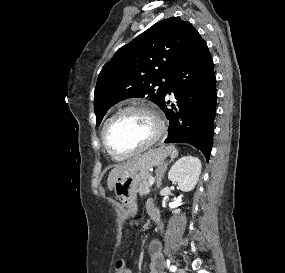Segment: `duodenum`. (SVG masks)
<instances>
[{"label": "duodenum", "instance_id": "1", "mask_svg": "<svg viewBox=\"0 0 285 273\" xmlns=\"http://www.w3.org/2000/svg\"><path fill=\"white\" fill-rule=\"evenodd\" d=\"M151 217H152V219L154 220V221H157V213H156V210H153L152 212H151V214H149Z\"/></svg>", "mask_w": 285, "mask_h": 273}]
</instances>
